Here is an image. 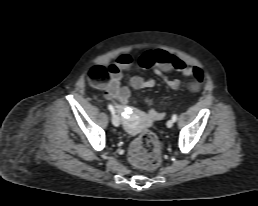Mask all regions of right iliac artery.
<instances>
[{
	"label": "right iliac artery",
	"instance_id": "right-iliac-artery-1",
	"mask_svg": "<svg viewBox=\"0 0 258 206\" xmlns=\"http://www.w3.org/2000/svg\"><path fill=\"white\" fill-rule=\"evenodd\" d=\"M108 109L110 110V112H111L112 114L115 113V110H114V108H113V106H112L111 104H108Z\"/></svg>",
	"mask_w": 258,
	"mask_h": 206
}]
</instances>
